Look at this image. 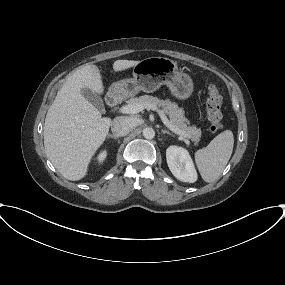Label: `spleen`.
<instances>
[{
  "instance_id": "3e777b00",
  "label": "spleen",
  "mask_w": 285,
  "mask_h": 285,
  "mask_svg": "<svg viewBox=\"0 0 285 285\" xmlns=\"http://www.w3.org/2000/svg\"><path fill=\"white\" fill-rule=\"evenodd\" d=\"M234 136L225 130L218 134L207 147L195 152V162L205 182H213L221 175L233 151Z\"/></svg>"
}]
</instances>
